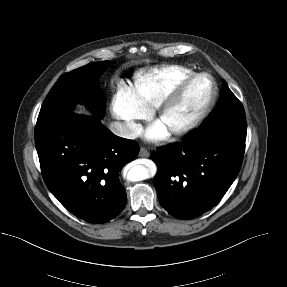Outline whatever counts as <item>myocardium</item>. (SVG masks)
I'll return each mask as SVG.
<instances>
[{
    "label": "myocardium",
    "mask_w": 287,
    "mask_h": 287,
    "mask_svg": "<svg viewBox=\"0 0 287 287\" xmlns=\"http://www.w3.org/2000/svg\"><path fill=\"white\" fill-rule=\"evenodd\" d=\"M200 78H205L209 81L210 94L204 105L191 118L179 125L171 126L167 129L171 136L179 137L190 133L209 115L217 99V86L213 77L203 72L192 73L184 78L155 108V120L160 122L178 103L187 88Z\"/></svg>",
    "instance_id": "obj_1"
}]
</instances>
